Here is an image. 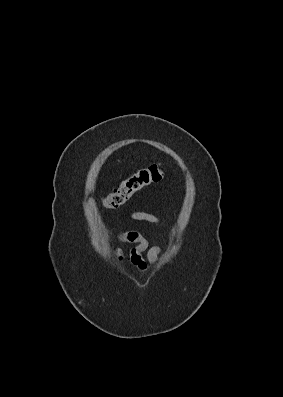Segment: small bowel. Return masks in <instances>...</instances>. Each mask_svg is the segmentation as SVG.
Returning <instances> with one entry per match:
<instances>
[{"mask_svg": "<svg viewBox=\"0 0 283 397\" xmlns=\"http://www.w3.org/2000/svg\"><path fill=\"white\" fill-rule=\"evenodd\" d=\"M129 217L134 221L147 222L150 224H160L161 220L156 215L146 211H132ZM121 242L131 244L132 247L125 254L123 249L116 248L113 252L114 257L119 263L126 260L140 273L151 269L162 254V247L150 245L148 240L138 231L127 230L118 233Z\"/></svg>", "mask_w": 283, "mask_h": 397, "instance_id": "small-bowel-1", "label": "small bowel"}]
</instances>
